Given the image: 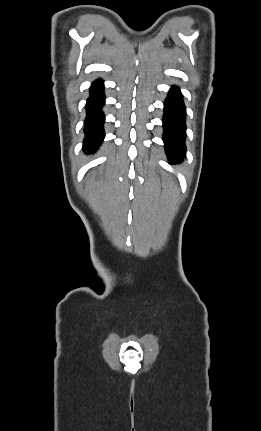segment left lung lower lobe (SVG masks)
Returning <instances> with one entry per match:
<instances>
[{"instance_id": "left-lung-lower-lobe-1", "label": "left lung lower lobe", "mask_w": 261, "mask_h": 431, "mask_svg": "<svg viewBox=\"0 0 261 431\" xmlns=\"http://www.w3.org/2000/svg\"><path fill=\"white\" fill-rule=\"evenodd\" d=\"M186 112L180 90L173 87L165 101L163 141L171 163H180L185 156Z\"/></svg>"}]
</instances>
